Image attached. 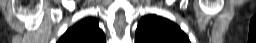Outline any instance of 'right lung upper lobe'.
I'll return each mask as SVG.
<instances>
[{"instance_id":"obj_1","label":"right lung upper lobe","mask_w":256,"mask_h":43,"mask_svg":"<svg viewBox=\"0 0 256 43\" xmlns=\"http://www.w3.org/2000/svg\"><path fill=\"white\" fill-rule=\"evenodd\" d=\"M105 35L98 20L86 18L68 29L58 43H105Z\"/></svg>"}]
</instances>
